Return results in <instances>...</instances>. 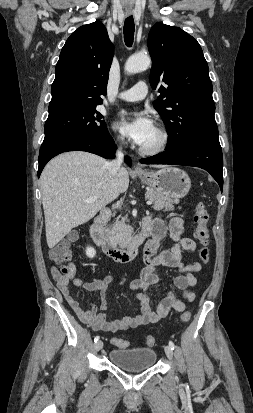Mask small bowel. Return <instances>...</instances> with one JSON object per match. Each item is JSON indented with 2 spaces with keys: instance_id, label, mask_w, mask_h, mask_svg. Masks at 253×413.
Returning a JSON list of instances; mask_svg holds the SVG:
<instances>
[{
  "instance_id": "small-bowel-1",
  "label": "small bowel",
  "mask_w": 253,
  "mask_h": 413,
  "mask_svg": "<svg viewBox=\"0 0 253 413\" xmlns=\"http://www.w3.org/2000/svg\"><path fill=\"white\" fill-rule=\"evenodd\" d=\"M144 221H147L151 227L152 238L144 248L143 261L145 266L141 270L139 278L133 280L130 285L133 290L138 291L137 297L141 305V313L139 315L133 317L126 316L114 321L106 319V290L114 281L113 276L84 282L76 277V268L73 264H69L70 272L66 275L62 274L55 266L51 268L52 277L69 306L83 323L90 325L95 331L114 333L149 323H156L166 317L172 309L183 312L185 310L184 300L191 302L195 299V292L192 288L197 284L195 274L201 270L202 266L196 261L185 263L182 260V253L191 254L195 251V242L190 238L182 237L184 220L174 217L170 220L168 226L161 217H147ZM167 231H169L174 245L172 248L157 254L159 241L165 237ZM158 266L178 269L180 274L174 278L173 282L175 287L182 292V298H177L173 292H169L153 310L150 292L152 288L159 289V276L156 273ZM70 284L82 287L89 292L100 291L101 305L97 307L95 304H91L89 309H83L71 294Z\"/></svg>"
}]
</instances>
